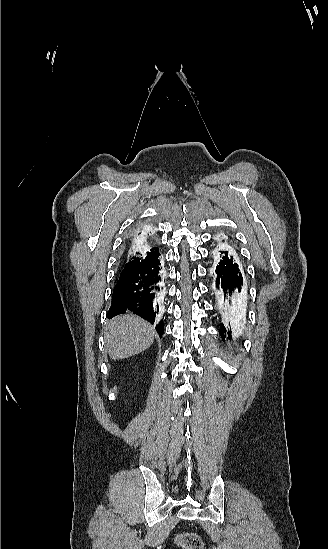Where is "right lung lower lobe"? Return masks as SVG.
Wrapping results in <instances>:
<instances>
[{"instance_id":"right-lung-lower-lobe-1","label":"right lung lower lobe","mask_w":328,"mask_h":549,"mask_svg":"<svg viewBox=\"0 0 328 549\" xmlns=\"http://www.w3.org/2000/svg\"><path fill=\"white\" fill-rule=\"evenodd\" d=\"M131 237L132 235L125 242L123 254L126 251V245L131 241ZM163 281V265L160 254L145 261L135 271L126 276H120L113 290L109 317L134 313L156 325L155 329L162 337L164 325L159 314L158 300L163 290Z\"/></svg>"}]
</instances>
